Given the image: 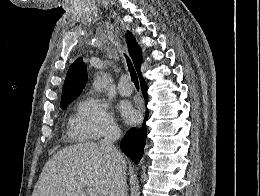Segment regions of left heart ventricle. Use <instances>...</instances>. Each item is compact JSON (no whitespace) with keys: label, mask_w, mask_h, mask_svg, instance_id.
Returning <instances> with one entry per match:
<instances>
[{"label":"left heart ventricle","mask_w":260,"mask_h":196,"mask_svg":"<svg viewBox=\"0 0 260 196\" xmlns=\"http://www.w3.org/2000/svg\"><path fill=\"white\" fill-rule=\"evenodd\" d=\"M97 191H106V190H97ZM55 192H66V190H55Z\"/></svg>","instance_id":"left-heart-ventricle-1"}]
</instances>
